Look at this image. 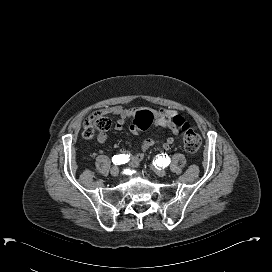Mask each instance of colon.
I'll return each mask as SVG.
<instances>
[{
	"instance_id": "obj_1",
	"label": "colon",
	"mask_w": 272,
	"mask_h": 272,
	"mask_svg": "<svg viewBox=\"0 0 272 272\" xmlns=\"http://www.w3.org/2000/svg\"><path fill=\"white\" fill-rule=\"evenodd\" d=\"M150 119L151 114L149 112H139L134 119L133 127H145V125L149 124ZM173 121L176 126L181 127L184 130L183 145L185 151L189 155H195L201 145V138L199 134L189 126L183 117L175 116ZM110 126V119L102 111H95L84 122V137L90 140L96 135L97 132L106 131L110 128Z\"/></svg>"
}]
</instances>
